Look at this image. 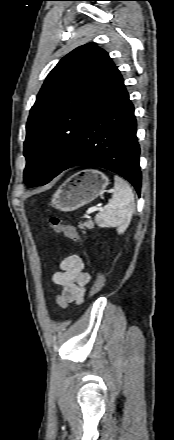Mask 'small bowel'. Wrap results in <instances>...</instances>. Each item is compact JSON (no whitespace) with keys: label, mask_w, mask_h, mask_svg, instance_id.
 <instances>
[{"label":"small bowel","mask_w":174,"mask_h":440,"mask_svg":"<svg viewBox=\"0 0 174 440\" xmlns=\"http://www.w3.org/2000/svg\"><path fill=\"white\" fill-rule=\"evenodd\" d=\"M90 274L85 270L83 259L73 254L64 258L59 270L52 275V280L60 288L57 302L62 307L70 303L81 305L86 288L90 282Z\"/></svg>","instance_id":"small-bowel-1"}]
</instances>
